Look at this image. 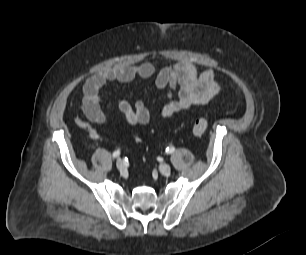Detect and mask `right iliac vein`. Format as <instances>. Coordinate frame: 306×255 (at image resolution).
I'll return each mask as SVG.
<instances>
[{"label":"right iliac vein","mask_w":306,"mask_h":255,"mask_svg":"<svg viewBox=\"0 0 306 255\" xmlns=\"http://www.w3.org/2000/svg\"><path fill=\"white\" fill-rule=\"evenodd\" d=\"M116 166H117L118 170L121 171V172L126 169V165H125L124 161L121 160V159L117 160Z\"/></svg>","instance_id":"1"}]
</instances>
